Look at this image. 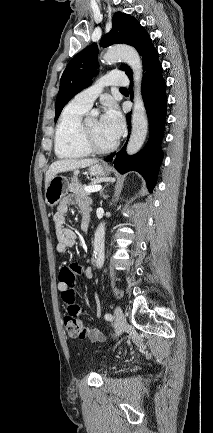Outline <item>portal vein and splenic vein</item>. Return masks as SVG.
Masks as SVG:
<instances>
[{
    "label": "portal vein and splenic vein",
    "mask_w": 213,
    "mask_h": 433,
    "mask_svg": "<svg viewBox=\"0 0 213 433\" xmlns=\"http://www.w3.org/2000/svg\"><path fill=\"white\" fill-rule=\"evenodd\" d=\"M101 189H102L101 185H94V186H86V187H84V191H86L88 193L97 192V191H100Z\"/></svg>",
    "instance_id": "1"
}]
</instances>
